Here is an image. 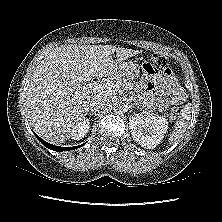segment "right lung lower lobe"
I'll list each match as a JSON object with an SVG mask.
<instances>
[{
	"mask_svg": "<svg viewBox=\"0 0 222 222\" xmlns=\"http://www.w3.org/2000/svg\"><path fill=\"white\" fill-rule=\"evenodd\" d=\"M35 136L37 137V139L43 144L45 145L47 148L51 149V150H54V151H67V150H73V149H76V148H79L81 147L82 145L80 146H75V147H59V146H55V145H52L50 143H47L46 141H44L43 139H41L39 136H37L35 134Z\"/></svg>",
	"mask_w": 222,
	"mask_h": 222,
	"instance_id": "98d812e1",
	"label": "right lung lower lobe"
}]
</instances>
